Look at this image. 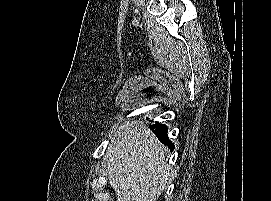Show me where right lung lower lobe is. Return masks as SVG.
I'll return each mask as SVG.
<instances>
[{"mask_svg": "<svg viewBox=\"0 0 271 201\" xmlns=\"http://www.w3.org/2000/svg\"><path fill=\"white\" fill-rule=\"evenodd\" d=\"M150 129L155 133L158 139L165 145H167L170 150L174 149V144L169 140L167 136V126L162 124L151 125Z\"/></svg>", "mask_w": 271, "mask_h": 201, "instance_id": "obj_1", "label": "right lung lower lobe"}]
</instances>
